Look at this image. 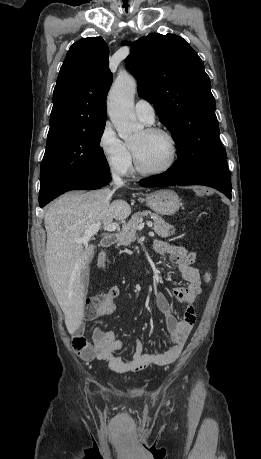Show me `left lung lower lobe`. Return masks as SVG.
<instances>
[{"instance_id": "1", "label": "left lung lower lobe", "mask_w": 261, "mask_h": 459, "mask_svg": "<svg viewBox=\"0 0 261 459\" xmlns=\"http://www.w3.org/2000/svg\"><path fill=\"white\" fill-rule=\"evenodd\" d=\"M143 187L175 185H205L215 188L231 198V179L226 160L200 165L182 174L174 168L140 182Z\"/></svg>"}]
</instances>
